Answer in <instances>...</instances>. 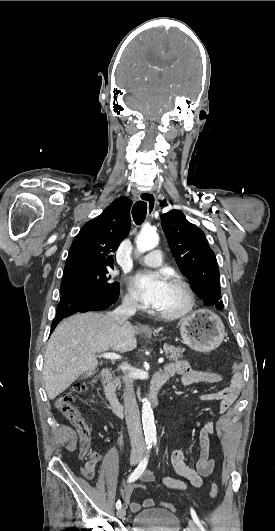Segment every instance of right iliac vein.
<instances>
[{
	"instance_id": "1",
	"label": "right iliac vein",
	"mask_w": 275,
	"mask_h": 531,
	"mask_svg": "<svg viewBox=\"0 0 275 531\" xmlns=\"http://www.w3.org/2000/svg\"><path fill=\"white\" fill-rule=\"evenodd\" d=\"M141 459H142V455L141 454H132V456L130 457V465L131 466L137 465L140 462ZM125 514H126L125 509H123V508L118 509L117 516L119 518H124Z\"/></svg>"
}]
</instances>
